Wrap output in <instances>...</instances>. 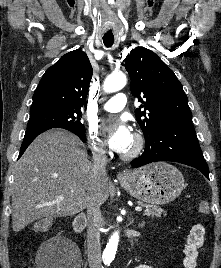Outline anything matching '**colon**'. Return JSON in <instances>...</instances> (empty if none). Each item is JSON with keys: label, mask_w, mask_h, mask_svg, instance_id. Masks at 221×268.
Returning <instances> with one entry per match:
<instances>
[{"label": "colon", "mask_w": 221, "mask_h": 268, "mask_svg": "<svg viewBox=\"0 0 221 268\" xmlns=\"http://www.w3.org/2000/svg\"><path fill=\"white\" fill-rule=\"evenodd\" d=\"M199 211L203 214H208L210 211L209 203L206 200H202L199 203ZM52 227V221L51 219L44 218L39 221H37L34 225V230L37 232H44L49 230ZM21 268H29L26 265H22Z\"/></svg>", "instance_id": "colon-1"}]
</instances>
